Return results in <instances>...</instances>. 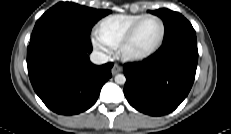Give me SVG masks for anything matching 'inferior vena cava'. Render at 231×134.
I'll use <instances>...</instances> for the list:
<instances>
[{"label": "inferior vena cava", "instance_id": "602c4592", "mask_svg": "<svg viewBox=\"0 0 231 134\" xmlns=\"http://www.w3.org/2000/svg\"><path fill=\"white\" fill-rule=\"evenodd\" d=\"M90 60L96 65H101L108 62V56L99 51H93L90 55Z\"/></svg>", "mask_w": 231, "mask_h": 134}]
</instances>
